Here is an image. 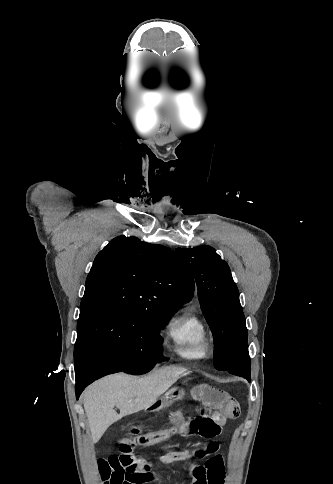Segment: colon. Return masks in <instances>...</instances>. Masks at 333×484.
Instances as JSON below:
<instances>
[{
  "label": "colon",
  "mask_w": 333,
  "mask_h": 484,
  "mask_svg": "<svg viewBox=\"0 0 333 484\" xmlns=\"http://www.w3.org/2000/svg\"><path fill=\"white\" fill-rule=\"evenodd\" d=\"M179 435H181L180 426H169L165 429L155 431V432L144 433L134 438H123L120 440V445L126 444V443H132L136 446H146V445H151L162 441L171 440Z\"/></svg>",
  "instance_id": "colon-1"
}]
</instances>
